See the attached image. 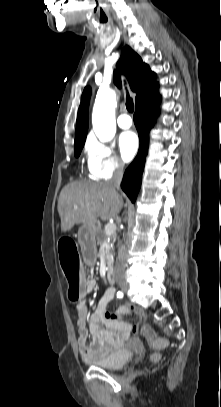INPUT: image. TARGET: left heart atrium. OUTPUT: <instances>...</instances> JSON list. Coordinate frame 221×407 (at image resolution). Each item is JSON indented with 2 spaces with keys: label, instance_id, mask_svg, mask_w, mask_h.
Here are the masks:
<instances>
[{
  "label": "left heart atrium",
  "instance_id": "39dd6f15",
  "mask_svg": "<svg viewBox=\"0 0 221 407\" xmlns=\"http://www.w3.org/2000/svg\"><path fill=\"white\" fill-rule=\"evenodd\" d=\"M137 135L132 131L123 132L119 137V149L122 158L130 161L138 149Z\"/></svg>",
  "mask_w": 221,
  "mask_h": 407
}]
</instances>
